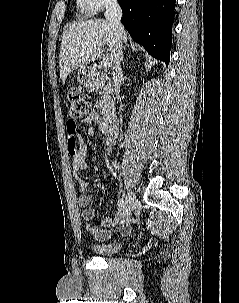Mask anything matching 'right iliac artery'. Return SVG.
Returning a JSON list of instances; mask_svg holds the SVG:
<instances>
[{
  "mask_svg": "<svg viewBox=\"0 0 239 303\" xmlns=\"http://www.w3.org/2000/svg\"><path fill=\"white\" fill-rule=\"evenodd\" d=\"M112 165L115 167V168H117V169H120V166L116 163V162H112ZM124 200H123V198L122 199H119V201H118V207L119 208H122L123 207V205H124Z\"/></svg>",
  "mask_w": 239,
  "mask_h": 303,
  "instance_id": "82829eb1",
  "label": "right iliac artery"
}]
</instances>
